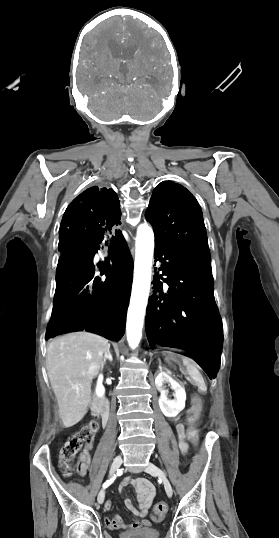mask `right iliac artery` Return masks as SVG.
Returning <instances> with one entry per match:
<instances>
[{
  "instance_id": "obj_1",
  "label": "right iliac artery",
  "mask_w": 279,
  "mask_h": 538,
  "mask_svg": "<svg viewBox=\"0 0 279 538\" xmlns=\"http://www.w3.org/2000/svg\"><path fill=\"white\" fill-rule=\"evenodd\" d=\"M122 473H123L122 469L118 470L116 475H114V477H112L110 480L104 483L103 488L108 487L115 480L116 476H120Z\"/></svg>"
}]
</instances>
